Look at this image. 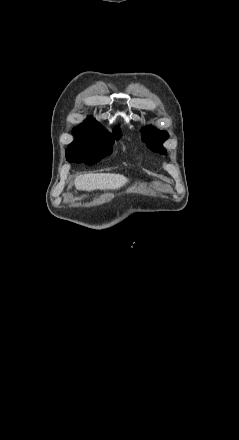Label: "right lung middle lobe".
Segmentation results:
<instances>
[{
  "label": "right lung middle lobe",
  "mask_w": 239,
  "mask_h": 440,
  "mask_svg": "<svg viewBox=\"0 0 239 440\" xmlns=\"http://www.w3.org/2000/svg\"><path fill=\"white\" fill-rule=\"evenodd\" d=\"M75 140L66 151H74L81 148H94L103 153H111L114 137L99 123H82L72 131ZM116 137L121 136L119 128L114 129Z\"/></svg>",
  "instance_id": "dd1d6c3e"
}]
</instances>
